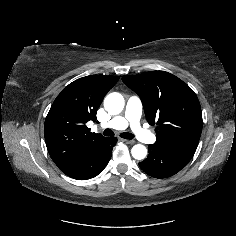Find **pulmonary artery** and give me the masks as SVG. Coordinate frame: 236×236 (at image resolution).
<instances>
[{"instance_id": "obj_1", "label": "pulmonary artery", "mask_w": 236, "mask_h": 236, "mask_svg": "<svg viewBox=\"0 0 236 236\" xmlns=\"http://www.w3.org/2000/svg\"><path fill=\"white\" fill-rule=\"evenodd\" d=\"M141 113V100L137 96H131L127 101L124 114L114 117L102 126L116 130H123L129 126L139 141L146 144L155 143L156 136L140 124Z\"/></svg>"}]
</instances>
